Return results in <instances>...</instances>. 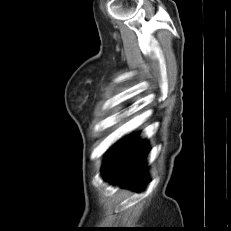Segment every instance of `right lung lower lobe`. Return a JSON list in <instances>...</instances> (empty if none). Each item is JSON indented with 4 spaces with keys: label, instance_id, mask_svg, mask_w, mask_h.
Masks as SVG:
<instances>
[{
    "label": "right lung lower lobe",
    "instance_id": "98d812e1",
    "mask_svg": "<svg viewBox=\"0 0 231 231\" xmlns=\"http://www.w3.org/2000/svg\"><path fill=\"white\" fill-rule=\"evenodd\" d=\"M149 148L137 135L122 140L107 156L102 170L112 183L133 185L142 190L147 182L145 162Z\"/></svg>",
    "mask_w": 231,
    "mask_h": 231
}]
</instances>
